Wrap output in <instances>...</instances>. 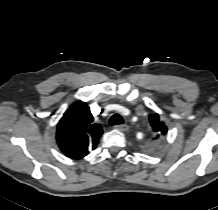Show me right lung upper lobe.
Instances as JSON below:
<instances>
[{"instance_id": "right-lung-upper-lobe-1", "label": "right lung upper lobe", "mask_w": 218, "mask_h": 210, "mask_svg": "<svg viewBox=\"0 0 218 210\" xmlns=\"http://www.w3.org/2000/svg\"><path fill=\"white\" fill-rule=\"evenodd\" d=\"M101 135L102 128L94 123L89 107L78 101L60 119L56 139L62 152L80 159L96 148Z\"/></svg>"}]
</instances>
